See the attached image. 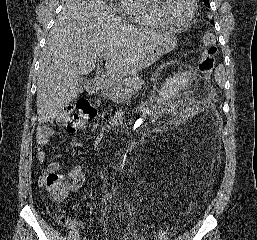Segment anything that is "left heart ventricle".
<instances>
[{
	"label": "left heart ventricle",
	"mask_w": 257,
	"mask_h": 240,
	"mask_svg": "<svg viewBox=\"0 0 257 240\" xmlns=\"http://www.w3.org/2000/svg\"><path fill=\"white\" fill-rule=\"evenodd\" d=\"M163 14L173 22H181L189 15L190 0H160Z\"/></svg>",
	"instance_id": "b2bd125f"
}]
</instances>
